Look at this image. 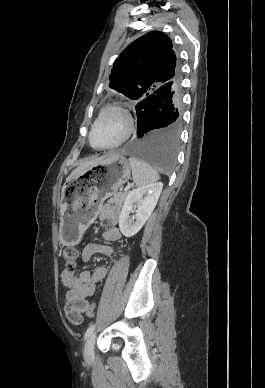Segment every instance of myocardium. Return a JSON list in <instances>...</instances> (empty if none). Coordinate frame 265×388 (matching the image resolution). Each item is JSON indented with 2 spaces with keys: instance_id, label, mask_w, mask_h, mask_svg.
I'll list each match as a JSON object with an SVG mask.
<instances>
[{
  "instance_id": "f54148a6",
  "label": "myocardium",
  "mask_w": 265,
  "mask_h": 388,
  "mask_svg": "<svg viewBox=\"0 0 265 388\" xmlns=\"http://www.w3.org/2000/svg\"><path fill=\"white\" fill-rule=\"evenodd\" d=\"M109 112H116V113H119L120 115L123 116L124 122H125L123 133L120 136V138L118 139V141L115 142L114 144L106 145V146H97L93 140L94 129H95L96 125L99 123V121L102 119V117H104V115H106ZM132 128H133V119H132L130 112L127 109H125L121 106H116V105L108 106L100 113V115L97 117V119L93 123L91 131L89 132V136H88L89 142L94 147L100 148V149L117 148V147L121 146L122 144H124L128 140Z\"/></svg>"
}]
</instances>
